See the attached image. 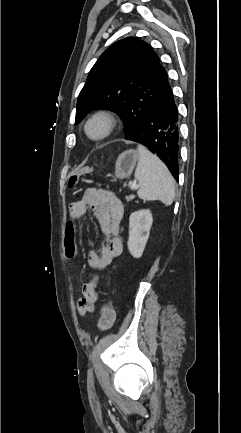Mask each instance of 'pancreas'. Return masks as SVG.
<instances>
[{
  "label": "pancreas",
  "mask_w": 241,
  "mask_h": 433,
  "mask_svg": "<svg viewBox=\"0 0 241 433\" xmlns=\"http://www.w3.org/2000/svg\"><path fill=\"white\" fill-rule=\"evenodd\" d=\"M133 198H134V195L126 196V200H127V201H130V200H132Z\"/></svg>",
  "instance_id": "obj_1"
}]
</instances>
